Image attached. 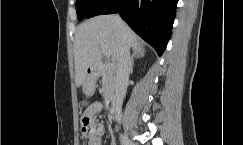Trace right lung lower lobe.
I'll return each mask as SVG.
<instances>
[{
  "mask_svg": "<svg viewBox=\"0 0 243 145\" xmlns=\"http://www.w3.org/2000/svg\"><path fill=\"white\" fill-rule=\"evenodd\" d=\"M178 0H103L86 17L119 13L158 55L167 46Z\"/></svg>",
  "mask_w": 243,
  "mask_h": 145,
  "instance_id": "right-lung-lower-lobe-1",
  "label": "right lung lower lobe"
}]
</instances>
